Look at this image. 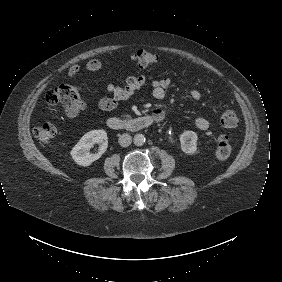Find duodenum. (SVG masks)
I'll return each mask as SVG.
<instances>
[{
	"label": "duodenum",
	"instance_id": "410a0bca",
	"mask_svg": "<svg viewBox=\"0 0 282 282\" xmlns=\"http://www.w3.org/2000/svg\"><path fill=\"white\" fill-rule=\"evenodd\" d=\"M161 121V116H156L155 114H143L128 120L112 117L106 121V124L108 127L115 130L136 131L152 126L153 124Z\"/></svg>",
	"mask_w": 282,
	"mask_h": 282
}]
</instances>
